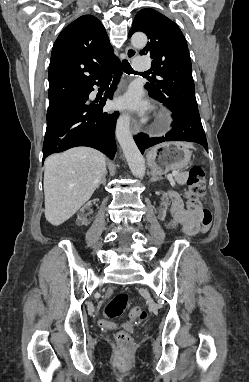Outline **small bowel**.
Listing matches in <instances>:
<instances>
[{"instance_id":"c3829d8e","label":"small bowel","mask_w":249,"mask_h":382,"mask_svg":"<svg viewBox=\"0 0 249 382\" xmlns=\"http://www.w3.org/2000/svg\"><path fill=\"white\" fill-rule=\"evenodd\" d=\"M172 219L168 223L170 228L180 226L187 235H195L200 229V211H192L184 208L181 198L173 193L170 195Z\"/></svg>"}]
</instances>
